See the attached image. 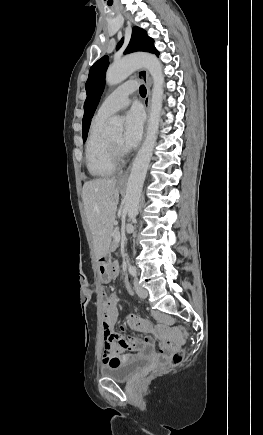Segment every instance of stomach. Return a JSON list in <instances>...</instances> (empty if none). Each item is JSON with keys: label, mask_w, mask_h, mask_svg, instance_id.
<instances>
[{"label": "stomach", "mask_w": 263, "mask_h": 435, "mask_svg": "<svg viewBox=\"0 0 263 435\" xmlns=\"http://www.w3.org/2000/svg\"><path fill=\"white\" fill-rule=\"evenodd\" d=\"M98 272L104 282H113L115 279L114 274L109 270L110 259L108 251L101 257L97 258Z\"/></svg>", "instance_id": "obj_1"}]
</instances>
